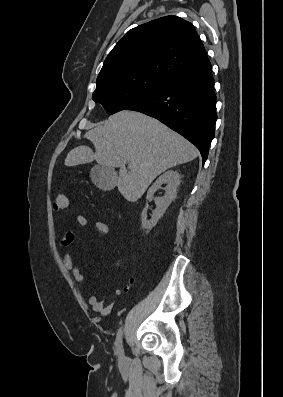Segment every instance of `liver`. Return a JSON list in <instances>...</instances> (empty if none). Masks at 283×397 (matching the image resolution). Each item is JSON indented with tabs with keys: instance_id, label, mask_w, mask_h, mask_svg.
I'll list each match as a JSON object with an SVG mask.
<instances>
[{
	"instance_id": "6515ba94",
	"label": "liver",
	"mask_w": 283,
	"mask_h": 397,
	"mask_svg": "<svg viewBox=\"0 0 283 397\" xmlns=\"http://www.w3.org/2000/svg\"><path fill=\"white\" fill-rule=\"evenodd\" d=\"M95 152L81 145L72 149L66 166L96 161L119 168L117 187L130 202L137 201L165 170L194 160L197 148L158 120L140 112L123 110L88 131ZM128 164V169L126 168Z\"/></svg>"
}]
</instances>
